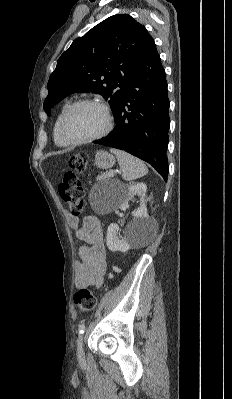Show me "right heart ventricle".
Here are the masks:
<instances>
[{"label":"right heart ventricle","instance_id":"e07e8e85","mask_svg":"<svg viewBox=\"0 0 232 399\" xmlns=\"http://www.w3.org/2000/svg\"><path fill=\"white\" fill-rule=\"evenodd\" d=\"M70 104H71L70 102L65 103L59 108V110H58V112L56 114L54 123H53V140H54V143L58 147L63 148V149H70V148L74 147L73 144H71L69 141H67L64 138V136L61 133V129H60L61 118H62L65 110L68 108V106Z\"/></svg>","mask_w":232,"mask_h":399}]
</instances>
